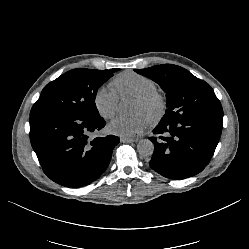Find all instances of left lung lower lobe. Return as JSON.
Returning a JSON list of instances; mask_svg holds the SVG:
<instances>
[{
	"label": "left lung lower lobe",
	"instance_id": "0a47b994",
	"mask_svg": "<svg viewBox=\"0 0 249 249\" xmlns=\"http://www.w3.org/2000/svg\"><path fill=\"white\" fill-rule=\"evenodd\" d=\"M223 116L183 118L159 123L149 139L154 152L149 166L170 179H185L210 162L222 131Z\"/></svg>",
	"mask_w": 249,
	"mask_h": 249
}]
</instances>
